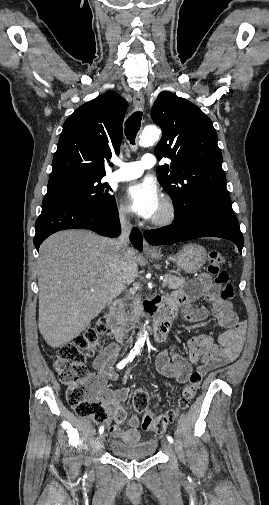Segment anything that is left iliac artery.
<instances>
[{"label": "left iliac artery", "instance_id": "left-iliac-artery-1", "mask_svg": "<svg viewBox=\"0 0 269 505\" xmlns=\"http://www.w3.org/2000/svg\"><path fill=\"white\" fill-rule=\"evenodd\" d=\"M167 440L170 442V443H173V438L171 436H167Z\"/></svg>", "mask_w": 269, "mask_h": 505}]
</instances>
